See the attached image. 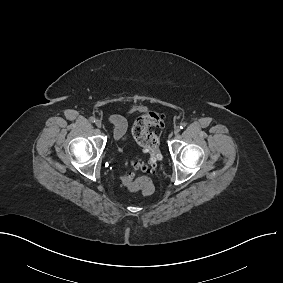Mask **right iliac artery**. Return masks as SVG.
<instances>
[{"mask_svg":"<svg viewBox=\"0 0 283 283\" xmlns=\"http://www.w3.org/2000/svg\"><path fill=\"white\" fill-rule=\"evenodd\" d=\"M92 123H95L96 122V118L95 117H90L89 119Z\"/></svg>","mask_w":283,"mask_h":283,"instance_id":"1","label":"right iliac artery"}]
</instances>
